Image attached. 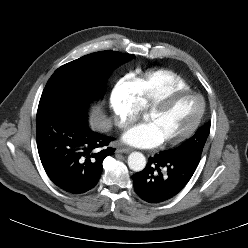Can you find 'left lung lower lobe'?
Returning <instances> with one entry per match:
<instances>
[{"label": "left lung lower lobe", "instance_id": "1", "mask_svg": "<svg viewBox=\"0 0 248 248\" xmlns=\"http://www.w3.org/2000/svg\"><path fill=\"white\" fill-rule=\"evenodd\" d=\"M200 159L198 154H156L149 158L144 170L132 176L134 190L149 203L170 200L189 182Z\"/></svg>", "mask_w": 248, "mask_h": 248}]
</instances>
